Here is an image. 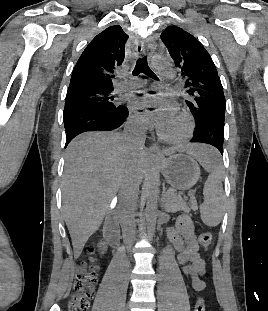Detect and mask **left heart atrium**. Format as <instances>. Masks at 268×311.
<instances>
[{"label":"left heart atrium","instance_id":"39dd6f15","mask_svg":"<svg viewBox=\"0 0 268 311\" xmlns=\"http://www.w3.org/2000/svg\"><path fill=\"white\" fill-rule=\"evenodd\" d=\"M144 97H161L158 102H150L144 98L133 97L130 100V106L133 109H143L151 105H159L160 108L155 109L150 114L151 118L157 123L162 125L168 122L174 115H176L177 107L174 100L167 94H146Z\"/></svg>","mask_w":268,"mask_h":311}]
</instances>
